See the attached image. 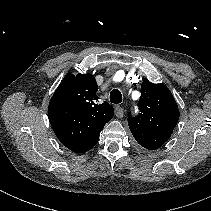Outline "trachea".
Wrapping results in <instances>:
<instances>
[{"mask_svg": "<svg viewBox=\"0 0 211 211\" xmlns=\"http://www.w3.org/2000/svg\"><path fill=\"white\" fill-rule=\"evenodd\" d=\"M110 101L111 103H114V104H119L122 102V95L118 89H113L110 92Z\"/></svg>", "mask_w": 211, "mask_h": 211, "instance_id": "trachea-1", "label": "trachea"}]
</instances>
